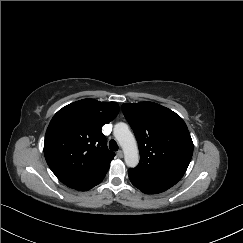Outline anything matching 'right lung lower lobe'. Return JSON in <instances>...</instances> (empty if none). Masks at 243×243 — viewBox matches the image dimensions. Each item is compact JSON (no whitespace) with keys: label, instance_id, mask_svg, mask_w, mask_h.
Wrapping results in <instances>:
<instances>
[{"label":"right lung lower lobe","instance_id":"98d812e1","mask_svg":"<svg viewBox=\"0 0 243 243\" xmlns=\"http://www.w3.org/2000/svg\"><path fill=\"white\" fill-rule=\"evenodd\" d=\"M108 169L109 168H106V169L102 170L101 172H99L98 174L92 176L90 179L70 185L69 187L76 189V190L87 191V190L93 188L94 186L98 185L103 180Z\"/></svg>","mask_w":243,"mask_h":243}]
</instances>
